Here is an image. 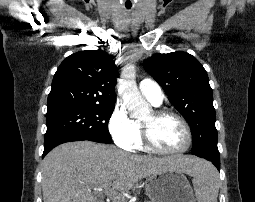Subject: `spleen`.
Returning <instances> with one entry per match:
<instances>
[{
	"instance_id": "1",
	"label": "spleen",
	"mask_w": 255,
	"mask_h": 202,
	"mask_svg": "<svg viewBox=\"0 0 255 202\" xmlns=\"http://www.w3.org/2000/svg\"><path fill=\"white\" fill-rule=\"evenodd\" d=\"M193 187L198 202H217L219 192V176L217 170L204 161L195 168Z\"/></svg>"
}]
</instances>
